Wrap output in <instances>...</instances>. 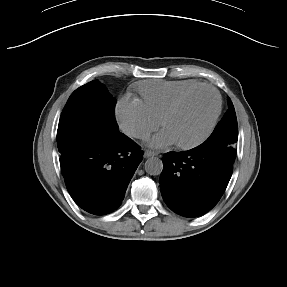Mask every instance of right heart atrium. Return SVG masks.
Returning a JSON list of instances; mask_svg holds the SVG:
<instances>
[{
    "instance_id": "d8ad5b80",
    "label": "right heart atrium",
    "mask_w": 287,
    "mask_h": 287,
    "mask_svg": "<svg viewBox=\"0 0 287 287\" xmlns=\"http://www.w3.org/2000/svg\"><path fill=\"white\" fill-rule=\"evenodd\" d=\"M115 112L120 127L133 138L145 139L160 126V121L137 98H121Z\"/></svg>"
}]
</instances>
